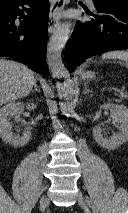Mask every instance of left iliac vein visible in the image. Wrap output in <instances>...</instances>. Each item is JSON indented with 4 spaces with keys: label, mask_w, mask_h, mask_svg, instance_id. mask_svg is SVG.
I'll return each instance as SVG.
<instances>
[{
    "label": "left iliac vein",
    "mask_w": 128,
    "mask_h": 213,
    "mask_svg": "<svg viewBox=\"0 0 128 213\" xmlns=\"http://www.w3.org/2000/svg\"><path fill=\"white\" fill-rule=\"evenodd\" d=\"M77 201L83 209L88 211V203L85 200V198H84V196L82 195L81 192H78V194H77Z\"/></svg>",
    "instance_id": "1"
}]
</instances>
